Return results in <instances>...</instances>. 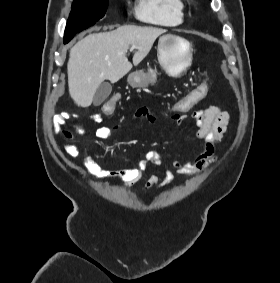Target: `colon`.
<instances>
[{"mask_svg": "<svg viewBox=\"0 0 280 283\" xmlns=\"http://www.w3.org/2000/svg\"><path fill=\"white\" fill-rule=\"evenodd\" d=\"M210 84L206 79H203L199 84H195L192 90L187 91V94H182V97L174 100V103L168 104L167 107H163V112H169L170 116H176L177 112H193V108L196 105H200V102H204L207 95H211ZM113 99H107L106 103L103 104L102 112L104 116H118L119 112L116 111L118 105L116 99H120V94H113ZM56 123L61 128L66 124V115H58L56 117ZM61 136L66 140H70L72 133L68 130L61 131Z\"/></svg>", "mask_w": 280, "mask_h": 283, "instance_id": "obj_1", "label": "colon"}]
</instances>
